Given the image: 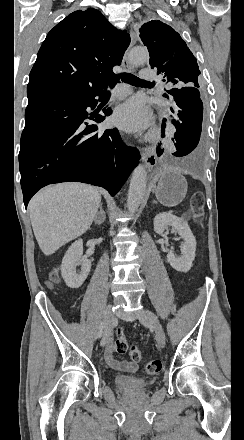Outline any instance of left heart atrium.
I'll return each mask as SVG.
<instances>
[{"label":"left heart atrium","mask_w":244,"mask_h":440,"mask_svg":"<svg viewBox=\"0 0 244 440\" xmlns=\"http://www.w3.org/2000/svg\"><path fill=\"white\" fill-rule=\"evenodd\" d=\"M112 120L126 131H139L152 124L153 114L142 98L134 97L115 109Z\"/></svg>","instance_id":"left-heart-atrium-1"}]
</instances>
